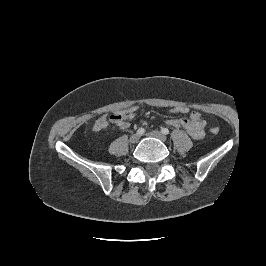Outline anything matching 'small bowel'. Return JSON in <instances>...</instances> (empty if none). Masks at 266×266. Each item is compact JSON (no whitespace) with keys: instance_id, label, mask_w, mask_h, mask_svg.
I'll list each match as a JSON object with an SVG mask.
<instances>
[{"instance_id":"small-bowel-1","label":"small bowel","mask_w":266,"mask_h":266,"mask_svg":"<svg viewBox=\"0 0 266 266\" xmlns=\"http://www.w3.org/2000/svg\"><path fill=\"white\" fill-rule=\"evenodd\" d=\"M130 119L125 120L118 124V127L121 129H127L130 126ZM168 125L178 128H184L187 133L196 140L202 139L205 135V121L200 113L192 112L189 118H182V119H170L167 121ZM108 125L107 117L101 116L99 117L94 125L93 130L96 132L102 131Z\"/></svg>"}]
</instances>
